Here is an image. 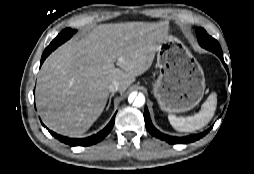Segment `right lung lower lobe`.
<instances>
[{"mask_svg":"<svg viewBox=\"0 0 254 174\" xmlns=\"http://www.w3.org/2000/svg\"><path fill=\"white\" fill-rule=\"evenodd\" d=\"M70 37L69 36H57L52 42L51 44L45 49V51L42 54L41 57V63L40 66L42 65V63L44 62V60L46 59V57L53 51L55 50L59 45H61L62 43H64L66 40H68ZM114 121H115V115L113 116V118L111 119V121L109 122V124L100 132H98L97 134L87 137V138H82V139H75V138H68L65 136H61L58 135L52 131L49 130V132L51 133L52 136H54L55 138L59 139L61 142L66 143L68 145L71 146H89L92 144H95L99 141H101L113 128L114 125Z\"/></svg>","mask_w":254,"mask_h":174,"instance_id":"right-lung-lower-lobe-1","label":"right lung lower lobe"}]
</instances>
